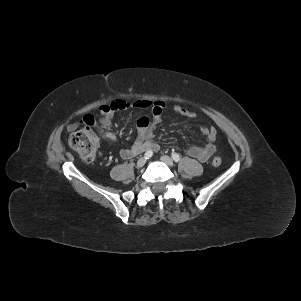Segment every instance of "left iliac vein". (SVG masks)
Returning <instances> with one entry per match:
<instances>
[{
  "label": "left iliac vein",
  "instance_id": "obj_1",
  "mask_svg": "<svg viewBox=\"0 0 301 301\" xmlns=\"http://www.w3.org/2000/svg\"><path fill=\"white\" fill-rule=\"evenodd\" d=\"M161 160H162L166 165H168L169 167H173V166H174L173 160H172L169 156L163 155V156L161 157Z\"/></svg>",
  "mask_w": 301,
  "mask_h": 301
}]
</instances>
